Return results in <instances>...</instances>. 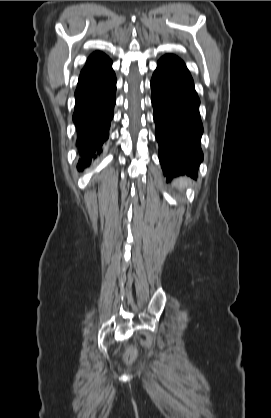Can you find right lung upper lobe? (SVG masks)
I'll list each match as a JSON object with an SVG mask.
<instances>
[{"label": "right lung upper lobe", "instance_id": "right-lung-upper-lobe-1", "mask_svg": "<svg viewBox=\"0 0 271 418\" xmlns=\"http://www.w3.org/2000/svg\"><path fill=\"white\" fill-rule=\"evenodd\" d=\"M109 58L103 53V52H99V51H95L94 53H92L87 62L85 67L82 69L81 74H84L86 72H88L89 70H91L92 68L100 65L101 63L108 61Z\"/></svg>", "mask_w": 271, "mask_h": 418}]
</instances>
